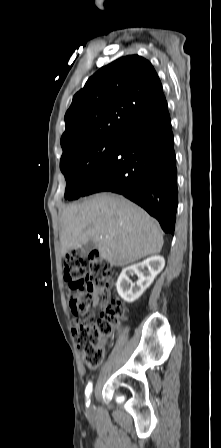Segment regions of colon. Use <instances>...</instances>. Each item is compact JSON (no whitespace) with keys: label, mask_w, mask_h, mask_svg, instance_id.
Masks as SVG:
<instances>
[{"label":"colon","mask_w":221,"mask_h":448,"mask_svg":"<svg viewBox=\"0 0 221 448\" xmlns=\"http://www.w3.org/2000/svg\"><path fill=\"white\" fill-rule=\"evenodd\" d=\"M64 279L68 283L70 310L81 316L73 328V337L85 364L96 368L102 362L107 344L125 317L123 304L111 300L101 315L94 319L90 306L96 294L107 293L114 276L112 266L96 252L81 257L68 253L63 261Z\"/></svg>","instance_id":"colon-1"}]
</instances>
